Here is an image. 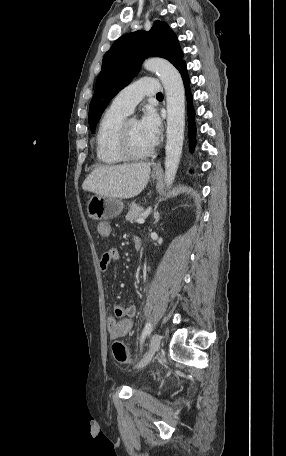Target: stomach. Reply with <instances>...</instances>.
<instances>
[{
	"label": "stomach",
	"mask_w": 286,
	"mask_h": 456,
	"mask_svg": "<svg viewBox=\"0 0 286 456\" xmlns=\"http://www.w3.org/2000/svg\"><path fill=\"white\" fill-rule=\"evenodd\" d=\"M154 179L158 174L153 173ZM124 204L120 198L95 195L87 203L88 216L94 220L110 219L120 215Z\"/></svg>",
	"instance_id": "stomach-1"
}]
</instances>
